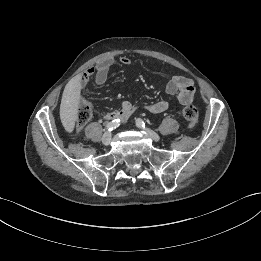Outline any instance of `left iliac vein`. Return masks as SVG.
<instances>
[{"mask_svg": "<svg viewBox=\"0 0 261 261\" xmlns=\"http://www.w3.org/2000/svg\"><path fill=\"white\" fill-rule=\"evenodd\" d=\"M143 130L145 132H147L154 141L158 142L160 140V136L156 132H154V131H152V130H150L148 128H144Z\"/></svg>", "mask_w": 261, "mask_h": 261, "instance_id": "left-iliac-vein-1", "label": "left iliac vein"}]
</instances>
